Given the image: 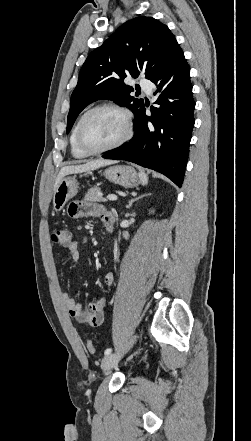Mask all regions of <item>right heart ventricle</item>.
<instances>
[{"label": "right heart ventricle", "mask_w": 251, "mask_h": 441, "mask_svg": "<svg viewBox=\"0 0 251 441\" xmlns=\"http://www.w3.org/2000/svg\"><path fill=\"white\" fill-rule=\"evenodd\" d=\"M77 124L78 122L75 124V126L72 129L71 135H70V147H71V153L72 155L77 158V159H84L86 158L88 155L86 153H84L77 145L76 143V129H77Z\"/></svg>", "instance_id": "obj_1"}]
</instances>
